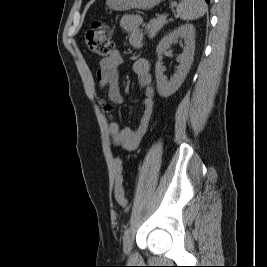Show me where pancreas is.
Returning a JSON list of instances; mask_svg holds the SVG:
<instances>
[{"label":"pancreas","instance_id":"1","mask_svg":"<svg viewBox=\"0 0 267 267\" xmlns=\"http://www.w3.org/2000/svg\"><path fill=\"white\" fill-rule=\"evenodd\" d=\"M168 21L166 18L161 16L157 17V19H151L150 22L146 25L145 30L148 33V37L152 39L156 36L158 31H160Z\"/></svg>","mask_w":267,"mask_h":267}]
</instances>
